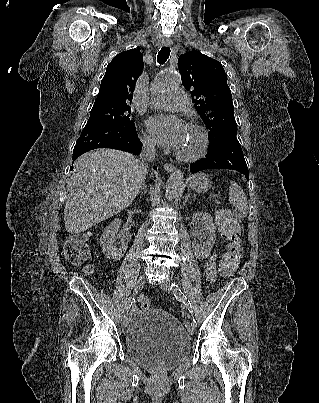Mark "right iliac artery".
<instances>
[{"instance_id":"82829eb1","label":"right iliac artery","mask_w":319,"mask_h":403,"mask_svg":"<svg viewBox=\"0 0 319 403\" xmlns=\"http://www.w3.org/2000/svg\"><path fill=\"white\" fill-rule=\"evenodd\" d=\"M134 301H135V299L132 298V297H130V298L128 299V301L126 302V305H125V307H124V310H123V313H122V317H124V316L127 314L128 310L130 309V307H131V305L133 304Z\"/></svg>"}]
</instances>
